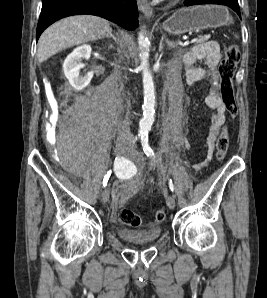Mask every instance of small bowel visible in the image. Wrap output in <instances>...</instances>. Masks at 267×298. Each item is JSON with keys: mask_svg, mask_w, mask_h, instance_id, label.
<instances>
[{"mask_svg": "<svg viewBox=\"0 0 267 298\" xmlns=\"http://www.w3.org/2000/svg\"><path fill=\"white\" fill-rule=\"evenodd\" d=\"M199 60H205L207 67H196L195 63ZM220 60L221 54L219 46L213 41L196 45L191 51L185 53L183 57L185 80L187 84L193 85L206 77H209L211 81V91L205 99L207 106L213 110L206 142V158L195 165V168L197 169L205 167L210 161L214 151V142L219 134L222 124L226 120V111H228L218 93L219 75L217 69ZM179 113V104L177 100H174L171 107V115L176 116ZM139 190L140 185L138 181L133 180L126 186L117 188L115 197L118 199L119 205L122 206L128 199L136 195Z\"/></svg>", "mask_w": 267, "mask_h": 298, "instance_id": "obj_1", "label": "small bowel"}]
</instances>
